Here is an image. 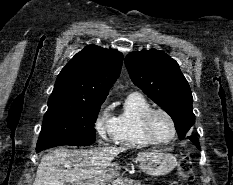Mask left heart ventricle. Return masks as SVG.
Masks as SVG:
<instances>
[{"label":"left heart ventricle","mask_w":233,"mask_h":185,"mask_svg":"<svg viewBox=\"0 0 233 185\" xmlns=\"http://www.w3.org/2000/svg\"><path fill=\"white\" fill-rule=\"evenodd\" d=\"M151 131L158 140H166L172 134V126L170 121L163 114H155L150 123Z\"/></svg>","instance_id":"left-heart-ventricle-1"}]
</instances>
